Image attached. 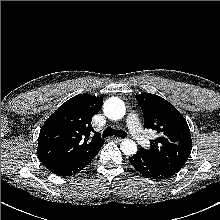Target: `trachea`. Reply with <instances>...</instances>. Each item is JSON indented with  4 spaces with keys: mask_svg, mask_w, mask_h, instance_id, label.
Wrapping results in <instances>:
<instances>
[{
    "mask_svg": "<svg viewBox=\"0 0 220 220\" xmlns=\"http://www.w3.org/2000/svg\"><path fill=\"white\" fill-rule=\"evenodd\" d=\"M108 136H118L124 138L126 136V133L122 130H114L111 127H107L103 132V137L105 138Z\"/></svg>",
    "mask_w": 220,
    "mask_h": 220,
    "instance_id": "trachea-1",
    "label": "trachea"
}]
</instances>
